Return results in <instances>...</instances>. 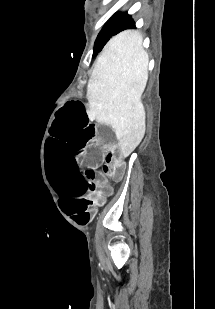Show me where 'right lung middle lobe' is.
I'll return each mask as SVG.
<instances>
[{"instance_id": "1", "label": "right lung middle lobe", "mask_w": 215, "mask_h": 309, "mask_svg": "<svg viewBox=\"0 0 215 309\" xmlns=\"http://www.w3.org/2000/svg\"><path fill=\"white\" fill-rule=\"evenodd\" d=\"M125 13H117L114 17H112L103 27L102 31L98 35L95 45H94V53L95 56L106 44V42L113 36L116 35L121 28V20Z\"/></svg>"}]
</instances>
